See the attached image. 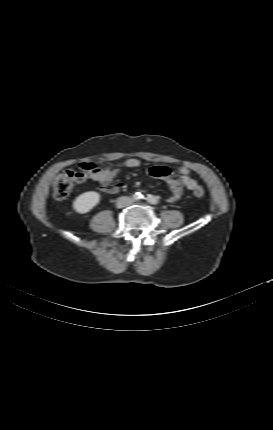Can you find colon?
Instances as JSON below:
<instances>
[{"mask_svg": "<svg viewBox=\"0 0 273 430\" xmlns=\"http://www.w3.org/2000/svg\"><path fill=\"white\" fill-rule=\"evenodd\" d=\"M85 173L67 170L59 174L53 181L54 196L57 200L66 199L75 187L85 181ZM205 190L202 186H197L193 190V195L197 198L203 197Z\"/></svg>", "mask_w": 273, "mask_h": 430, "instance_id": "obj_1", "label": "colon"}]
</instances>
